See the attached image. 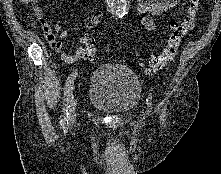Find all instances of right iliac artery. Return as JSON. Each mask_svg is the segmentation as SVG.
<instances>
[{"label": "right iliac artery", "instance_id": "1", "mask_svg": "<svg viewBox=\"0 0 221 174\" xmlns=\"http://www.w3.org/2000/svg\"><path fill=\"white\" fill-rule=\"evenodd\" d=\"M77 76V72H73L70 74V76L67 78L66 85H65V91H64V101H63V113L61 115V125L65 127L68 124L69 120V108L71 104V100L73 98V84L74 80Z\"/></svg>", "mask_w": 221, "mask_h": 174}]
</instances>
